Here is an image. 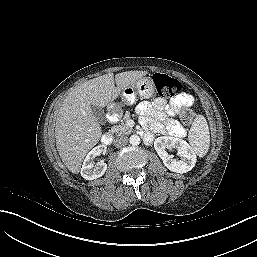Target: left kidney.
Returning <instances> with one entry per match:
<instances>
[{"mask_svg": "<svg viewBox=\"0 0 257 257\" xmlns=\"http://www.w3.org/2000/svg\"><path fill=\"white\" fill-rule=\"evenodd\" d=\"M154 148L164 165L172 172L186 173L195 166L196 154L190 145L179 138L171 136H161L155 139ZM166 149H176L181 160H176L166 152Z\"/></svg>", "mask_w": 257, "mask_h": 257, "instance_id": "1", "label": "left kidney"}]
</instances>
